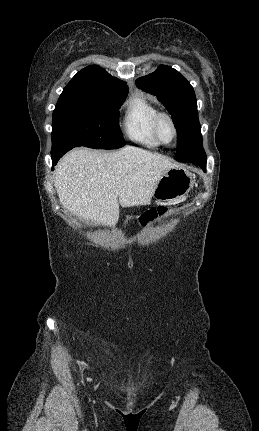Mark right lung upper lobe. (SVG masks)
<instances>
[{"label":"right lung upper lobe","mask_w":259,"mask_h":431,"mask_svg":"<svg viewBox=\"0 0 259 431\" xmlns=\"http://www.w3.org/2000/svg\"><path fill=\"white\" fill-rule=\"evenodd\" d=\"M128 93L127 84L108 74L103 68L90 65L79 71L64 88L62 94L100 96L108 93Z\"/></svg>","instance_id":"1"}]
</instances>
